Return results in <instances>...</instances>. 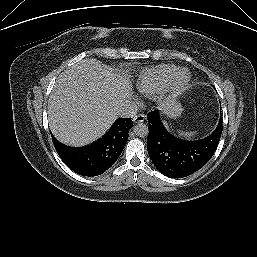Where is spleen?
<instances>
[{
	"label": "spleen",
	"mask_w": 257,
	"mask_h": 257,
	"mask_svg": "<svg viewBox=\"0 0 257 257\" xmlns=\"http://www.w3.org/2000/svg\"><path fill=\"white\" fill-rule=\"evenodd\" d=\"M179 134L184 137H191L195 134V132H180Z\"/></svg>",
	"instance_id": "3e777b00"
}]
</instances>
